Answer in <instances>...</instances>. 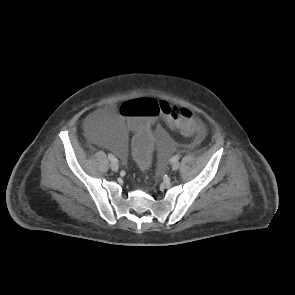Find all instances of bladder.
Returning <instances> with one entry per match:
<instances>
[{
    "label": "bladder",
    "mask_w": 295,
    "mask_h": 295,
    "mask_svg": "<svg viewBox=\"0 0 295 295\" xmlns=\"http://www.w3.org/2000/svg\"><path fill=\"white\" fill-rule=\"evenodd\" d=\"M80 132L85 140L101 144L114 157H122L130 149L127 133L118 127L117 117L111 111L101 110L88 115L81 124ZM153 133L156 139L161 140L158 143L154 169L162 172L165 169L168 154L174 150V145L171 136L166 135L163 126H154Z\"/></svg>",
    "instance_id": "1"
}]
</instances>
